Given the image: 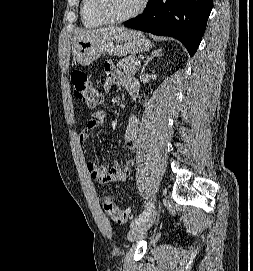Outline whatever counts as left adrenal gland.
<instances>
[{
    "instance_id": "left-adrenal-gland-1",
    "label": "left adrenal gland",
    "mask_w": 253,
    "mask_h": 271,
    "mask_svg": "<svg viewBox=\"0 0 253 271\" xmlns=\"http://www.w3.org/2000/svg\"><path fill=\"white\" fill-rule=\"evenodd\" d=\"M162 55H163V54H162V50H161V49L152 51V53H151L149 56H147V59H146V61H145L144 64H143L141 73H144L145 67L147 66V64H148V62H149L150 60H152L154 57H158V56H162Z\"/></svg>"
}]
</instances>
